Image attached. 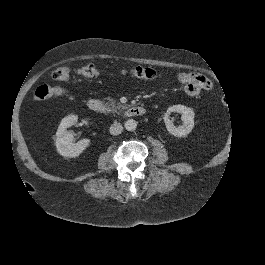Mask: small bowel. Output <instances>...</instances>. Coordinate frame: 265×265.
<instances>
[{
	"label": "small bowel",
	"mask_w": 265,
	"mask_h": 265,
	"mask_svg": "<svg viewBox=\"0 0 265 265\" xmlns=\"http://www.w3.org/2000/svg\"><path fill=\"white\" fill-rule=\"evenodd\" d=\"M177 78L183 85L185 93L189 96H197L202 90H210L212 88L211 81L202 74L180 73Z\"/></svg>",
	"instance_id": "obj_1"
}]
</instances>
